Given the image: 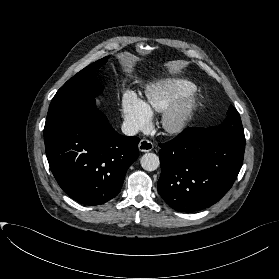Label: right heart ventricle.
<instances>
[{
	"instance_id": "obj_1",
	"label": "right heart ventricle",
	"mask_w": 279,
	"mask_h": 279,
	"mask_svg": "<svg viewBox=\"0 0 279 279\" xmlns=\"http://www.w3.org/2000/svg\"><path fill=\"white\" fill-rule=\"evenodd\" d=\"M195 90L196 85L188 79L180 76H167L146 87V105L149 109L164 112Z\"/></svg>"
}]
</instances>
